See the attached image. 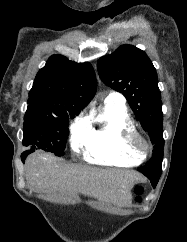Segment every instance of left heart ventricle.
<instances>
[{
  "mask_svg": "<svg viewBox=\"0 0 187 242\" xmlns=\"http://www.w3.org/2000/svg\"><path fill=\"white\" fill-rule=\"evenodd\" d=\"M137 147H138V149H139L140 151H144V150H145V147H144V145H143L141 142H138V143H137Z\"/></svg>",
  "mask_w": 187,
  "mask_h": 242,
  "instance_id": "obj_1",
  "label": "left heart ventricle"
}]
</instances>
